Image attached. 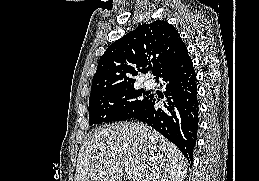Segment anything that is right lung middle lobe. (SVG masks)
Here are the masks:
<instances>
[{"instance_id":"right-lung-middle-lobe-1","label":"right lung middle lobe","mask_w":259,"mask_h":181,"mask_svg":"<svg viewBox=\"0 0 259 181\" xmlns=\"http://www.w3.org/2000/svg\"><path fill=\"white\" fill-rule=\"evenodd\" d=\"M148 99L143 90H135L134 86L97 94L89 98V125L130 119L142 110Z\"/></svg>"}]
</instances>
